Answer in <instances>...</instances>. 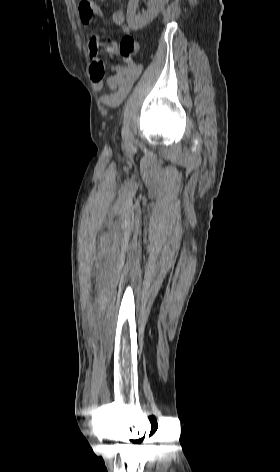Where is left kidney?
Returning <instances> with one entry per match:
<instances>
[{
    "label": "left kidney",
    "mask_w": 280,
    "mask_h": 472,
    "mask_svg": "<svg viewBox=\"0 0 280 472\" xmlns=\"http://www.w3.org/2000/svg\"><path fill=\"white\" fill-rule=\"evenodd\" d=\"M169 0H149L147 11L136 15L138 0H130L127 7V22L131 29L138 30L148 24L157 16L166 2Z\"/></svg>",
    "instance_id": "left-kidney-1"
}]
</instances>
